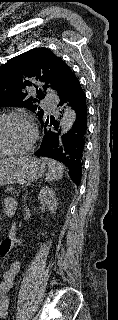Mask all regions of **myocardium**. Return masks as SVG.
Listing matches in <instances>:
<instances>
[{"label": "myocardium", "instance_id": "myocardium-1", "mask_svg": "<svg viewBox=\"0 0 118 320\" xmlns=\"http://www.w3.org/2000/svg\"><path fill=\"white\" fill-rule=\"evenodd\" d=\"M8 120H19L26 123L31 130L32 137L28 145L20 149L10 150L0 145V153L3 155H22L30 152L34 148L35 143L38 139V129L34 122L27 116L22 115L20 113H9L5 115H0V123Z\"/></svg>", "mask_w": 118, "mask_h": 320}]
</instances>
